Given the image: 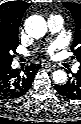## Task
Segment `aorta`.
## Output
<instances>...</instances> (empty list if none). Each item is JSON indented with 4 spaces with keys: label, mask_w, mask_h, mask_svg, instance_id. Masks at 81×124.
I'll list each match as a JSON object with an SVG mask.
<instances>
[{
    "label": "aorta",
    "mask_w": 81,
    "mask_h": 124,
    "mask_svg": "<svg viewBox=\"0 0 81 124\" xmlns=\"http://www.w3.org/2000/svg\"><path fill=\"white\" fill-rule=\"evenodd\" d=\"M24 27L26 33L33 38H41L47 32L46 21L37 15L27 18ZM53 80L55 83L61 84L67 80V73L64 70H56L53 72Z\"/></svg>",
    "instance_id": "762f6f07"
}]
</instances>
